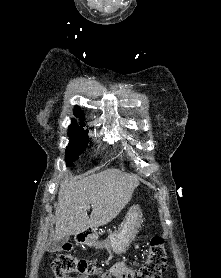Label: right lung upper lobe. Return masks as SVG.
Wrapping results in <instances>:
<instances>
[{"mask_svg":"<svg viewBox=\"0 0 221 278\" xmlns=\"http://www.w3.org/2000/svg\"><path fill=\"white\" fill-rule=\"evenodd\" d=\"M74 115H75L76 117H80L81 120L83 119V115L81 114V109H80L79 107H75V109H74ZM73 122H75V120H74Z\"/></svg>","mask_w":221,"mask_h":278,"instance_id":"1","label":"right lung upper lobe"}]
</instances>
